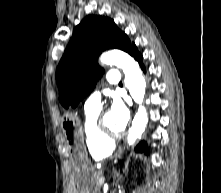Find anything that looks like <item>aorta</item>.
<instances>
[{"label": "aorta", "instance_id": "762f6f07", "mask_svg": "<svg viewBox=\"0 0 221 193\" xmlns=\"http://www.w3.org/2000/svg\"><path fill=\"white\" fill-rule=\"evenodd\" d=\"M100 62L104 65H114L121 68L125 74L124 83L133 100L139 104L138 111L129 128L127 142L133 145L137 139H140L145 131L148 114L142 102L145 95L146 82L142 75L141 69L137 61L130 55L121 50H110L103 53Z\"/></svg>", "mask_w": 221, "mask_h": 193}]
</instances>
